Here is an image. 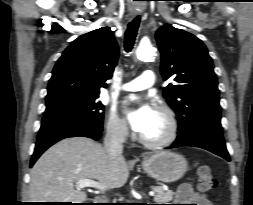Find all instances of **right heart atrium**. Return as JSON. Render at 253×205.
Instances as JSON below:
<instances>
[{"label":"right heart atrium","instance_id":"right-heart-atrium-1","mask_svg":"<svg viewBox=\"0 0 253 205\" xmlns=\"http://www.w3.org/2000/svg\"><path fill=\"white\" fill-rule=\"evenodd\" d=\"M106 130L113 139L124 141L128 135V126L124 119L118 116L116 112H110L106 121Z\"/></svg>","mask_w":253,"mask_h":205}]
</instances>
